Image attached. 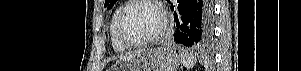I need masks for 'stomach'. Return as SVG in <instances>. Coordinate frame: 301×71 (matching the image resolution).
Segmentation results:
<instances>
[{"label":"stomach","instance_id":"1","mask_svg":"<svg viewBox=\"0 0 301 71\" xmlns=\"http://www.w3.org/2000/svg\"><path fill=\"white\" fill-rule=\"evenodd\" d=\"M180 57L166 47L143 49L122 58L112 71H176Z\"/></svg>","mask_w":301,"mask_h":71}]
</instances>
